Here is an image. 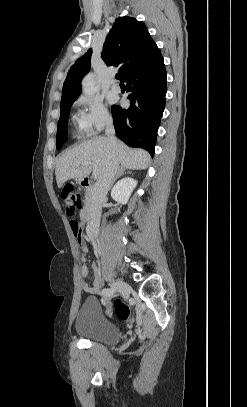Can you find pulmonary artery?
I'll use <instances>...</instances> for the list:
<instances>
[{
  "label": "pulmonary artery",
  "instance_id": "pulmonary-artery-1",
  "mask_svg": "<svg viewBox=\"0 0 247 407\" xmlns=\"http://www.w3.org/2000/svg\"><path fill=\"white\" fill-rule=\"evenodd\" d=\"M111 89H112V91H114V92H120V86L116 83V81L115 80H113L112 82H111Z\"/></svg>",
  "mask_w": 247,
  "mask_h": 407
}]
</instances>
